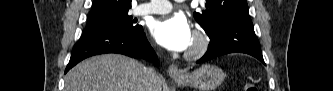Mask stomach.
<instances>
[{
  "label": "stomach",
  "instance_id": "stomach-1",
  "mask_svg": "<svg viewBox=\"0 0 333 91\" xmlns=\"http://www.w3.org/2000/svg\"><path fill=\"white\" fill-rule=\"evenodd\" d=\"M224 78L225 74L222 69L205 64L192 73L174 78V80L181 86H193L200 91H213L222 84Z\"/></svg>",
  "mask_w": 333,
  "mask_h": 91
}]
</instances>
